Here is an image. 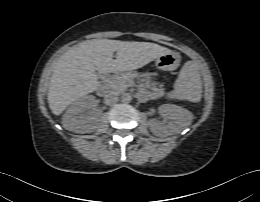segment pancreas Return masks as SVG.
I'll return each mask as SVG.
<instances>
[{
    "label": "pancreas",
    "mask_w": 260,
    "mask_h": 202,
    "mask_svg": "<svg viewBox=\"0 0 260 202\" xmlns=\"http://www.w3.org/2000/svg\"><path fill=\"white\" fill-rule=\"evenodd\" d=\"M138 76L136 72H126L118 76L116 79L108 80L105 85L108 91L122 93L126 91L130 82Z\"/></svg>",
    "instance_id": "1"
}]
</instances>
